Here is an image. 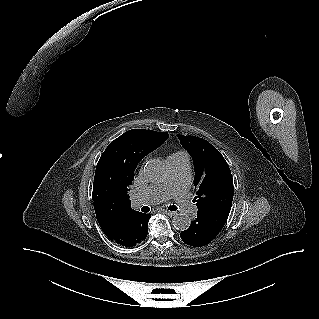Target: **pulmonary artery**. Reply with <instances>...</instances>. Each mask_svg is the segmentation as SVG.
Segmentation results:
<instances>
[{
  "instance_id": "1",
  "label": "pulmonary artery",
  "mask_w": 319,
  "mask_h": 319,
  "mask_svg": "<svg viewBox=\"0 0 319 319\" xmlns=\"http://www.w3.org/2000/svg\"><path fill=\"white\" fill-rule=\"evenodd\" d=\"M169 177L162 185L150 186L131 198L132 206L135 208L160 203L172 196L176 198L178 207L186 214L195 211L194 205L188 200L185 192L189 185L190 163L184 154L167 159Z\"/></svg>"
}]
</instances>
